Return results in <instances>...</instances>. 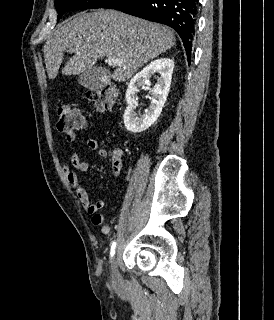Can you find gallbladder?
Segmentation results:
<instances>
[{
	"label": "gallbladder",
	"instance_id": "gallbladder-1",
	"mask_svg": "<svg viewBox=\"0 0 274 320\" xmlns=\"http://www.w3.org/2000/svg\"><path fill=\"white\" fill-rule=\"evenodd\" d=\"M115 72H106V68H85L79 76V84L88 90H99V85H110Z\"/></svg>",
	"mask_w": 274,
	"mask_h": 320
}]
</instances>
